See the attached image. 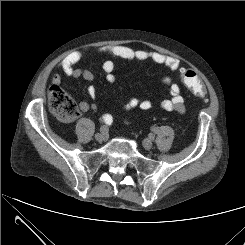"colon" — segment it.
Listing matches in <instances>:
<instances>
[{
    "mask_svg": "<svg viewBox=\"0 0 245 245\" xmlns=\"http://www.w3.org/2000/svg\"><path fill=\"white\" fill-rule=\"evenodd\" d=\"M181 79L195 95L206 97V89L201 77L194 70L183 69L180 72ZM51 111L61 120L69 122L79 115L77 103L60 87L53 86L48 94Z\"/></svg>",
    "mask_w": 245,
    "mask_h": 245,
    "instance_id": "5ec220e1",
    "label": "colon"
}]
</instances>
